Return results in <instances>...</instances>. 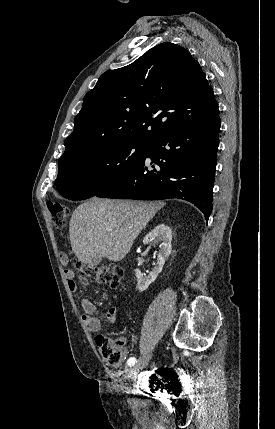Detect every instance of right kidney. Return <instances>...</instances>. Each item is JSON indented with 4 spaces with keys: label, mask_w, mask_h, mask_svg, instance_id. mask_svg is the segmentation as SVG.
Returning <instances> with one entry per match:
<instances>
[{
    "label": "right kidney",
    "mask_w": 275,
    "mask_h": 429,
    "mask_svg": "<svg viewBox=\"0 0 275 429\" xmlns=\"http://www.w3.org/2000/svg\"><path fill=\"white\" fill-rule=\"evenodd\" d=\"M171 240L172 231L170 227L166 226L165 224L157 225L145 236L143 240L144 244L160 243V245L156 266L149 272L148 275L142 274L139 269H135L137 285L140 292L145 291L150 286V284L156 280L157 276L162 271L165 260L171 253Z\"/></svg>",
    "instance_id": "right-kidney-1"
}]
</instances>
